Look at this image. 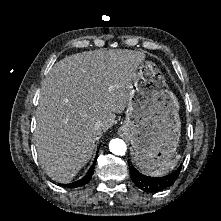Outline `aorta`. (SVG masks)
<instances>
[{
  "instance_id": "1",
  "label": "aorta",
  "mask_w": 221,
  "mask_h": 221,
  "mask_svg": "<svg viewBox=\"0 0 221 221\" xmlns=\"http://www.w3.org/2000/svg\"><path fill=\"white\" fill-rule=\"evenodd\" d=\"M109 149L113 154L122 156L125 154L127 146L122 139L115 138L110 141Z\"/></svg>"
}]
</instances>
